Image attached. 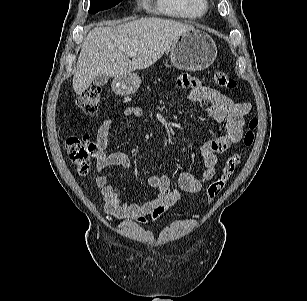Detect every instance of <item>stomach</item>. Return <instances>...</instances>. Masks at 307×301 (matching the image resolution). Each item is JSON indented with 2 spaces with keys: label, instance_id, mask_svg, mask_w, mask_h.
<instances>
[{
  "label": "stomach",
  "instance_id": "0dacf381",
  "mask_svg": "<svg viewBox=\"0 0 307 301\" xmlns=\"http://www.w3.org/2000/svg\"><path fill=\"white\" fill-rule=\"evenodd\" d=\"M217 56V47L213 39L204 31L192 29L180 35L170 48V61L180 70L200 71L210 67ZM141 84L136 73L115 77L112 90L117 95L134 93Z\"/></svg>",
  "mask_w": 307,
  "mask_h": 301
}]
</instances>
